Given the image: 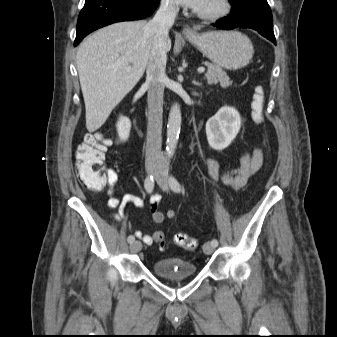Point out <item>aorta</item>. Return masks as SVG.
I'll return each instance as SVG.
<instances>
[{"instance_id": "obj_1", "label": "aorta", "mask_w": 337, "mask_h": 337, "mask_svg": "<svg viewBox=\"0 0 337 337\" xmlns=\"http://www.w3.org/2000/svg\"><path fill=\"white\" fill-rule=\"evenodd\" d=\"M181 119L180 105L175 103L170 109L167 124L166 154L168 156H172L175 152L180 134Z\"/></svg>"}]
</instances>
